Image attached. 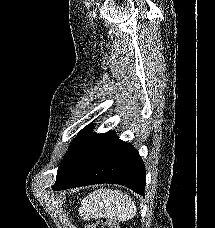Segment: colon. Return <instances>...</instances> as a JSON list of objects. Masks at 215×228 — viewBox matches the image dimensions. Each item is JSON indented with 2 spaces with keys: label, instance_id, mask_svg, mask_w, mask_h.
Listing matches in <instances>:
<instances>
[{
  "label": "colon",
  "instance_id": "1",
  "mask_svg": "<svg viewBox=\"0 0 215 228\" xmlns=\"http://www.w3.org/2000/svg\"><path fill=\"white\" fill-rule=\"evenodd\" d=\"M85 228H118L115 221H100L97 225H85Z\"/></svg>",
  "mask_w": 215,
  "mask_h": 228
}]
</instances>
